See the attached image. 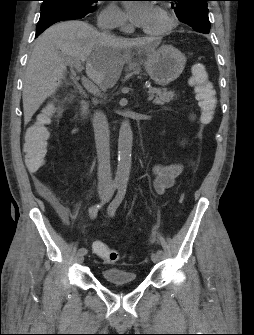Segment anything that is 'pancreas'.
Here are the masks:
<instances>
[{"instance_id": "obj_1", "label": "pancreas", "mask_w": 254, "mask_h": 335, "mask_svg": "<svg viewBox=\"0 0 254 335\" xmlns=\"http://www.w3.org/2000/svg\"><path fill=\"white\" fill-rule=\"evenodd\" d=\"M149 94H155L156 97L153 100V103L156 105H164L174 100L175 93L174 91H168L166 88H152L149 90Z\"/></svg>"}]
</instances>
